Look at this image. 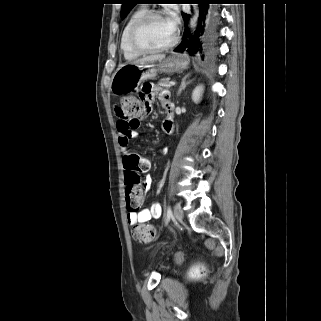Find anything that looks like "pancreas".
<instances>
[{
    "label": "pancreas",
    "instance_id": "cf45deb5",
    "mask_svg": "<svg viewBox=\"0 0 321 321\" xmlns=\"http://www.w3.org/2000/svg\"><path fill=\"white\" fill-rule=\"evenodd\" d=\"M169 83H170V79L169 78H162V79L159 80L158 86L168 89L170 87Z\"/></svg>",
    "mask_w": 321,
    "mask_h": 321
}]
</instances>
